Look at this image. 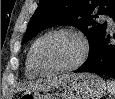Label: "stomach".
<instances>
[{
	"instance_id": "1",
	"label": "stomach",
	"mask_w": 115,
	"mask_h": 99,
	"mask_svg": "<svg viewBox=\"0 0 115 99\" xmlns=\"http://www.w3.org/2000/svg\"><path fill=\"white\" fill-rule=\"evenodd\" d=\"M106 90L104 80L95 74H72L43 88L25 90L21 99H100Z\"/></svg>"
}]
</instances>
